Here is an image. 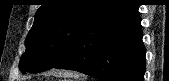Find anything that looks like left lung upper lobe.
Returning <instances> with one entry per match:
<instances>
[{
	"instance_id": "left-lung-upper-lobe-1",
	"label": "left lung upper lobe",
	"mask_w": 169,
	"mask_h": 81,
	"mask_svg": "<svg viewBox=\"0 0 169 81\" xmlns=\"http://www.w3.org/2000/svg\"><path fill=\"white\" fill-rule=\"evenodd\" d=\"M114 1L45 0L25 40L19 69L39 73L64 61L83 30Z\"/></svg>"
}]
</instances>
